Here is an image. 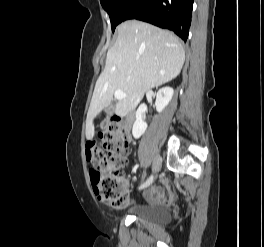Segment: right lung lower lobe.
I'll return each instance as SVG.
<instances>
[{
    "instance_id": "98d812e1",
    "label": "right lung lower lobe",
    "mask_w": 264,
    "mask_h": 247,
    "mask_svg": "<svg viewBox=\"0 0 264 247\" xmlns=\"http://www.w3.org/2000/svg\"><path fill=\"white\" fill-rule=\"evenodd\" d=\"M193 0H134L123 21L137 19L172 30L186 42L191 23Z\"/></svg>"
}]
</instances>
